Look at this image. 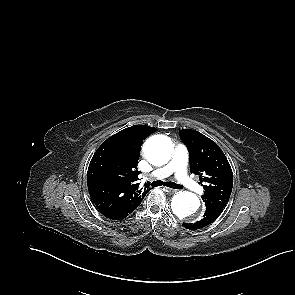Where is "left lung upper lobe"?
<instances>
[{
  "label": "left lung upper lobe",
  "instance_id": "5c2ea615",
  "mask_svg": "<svg viewBox=\"0 0 295 295\" xmlns=\"http://www.w3.org/2000/svg\"><path fill=\"white\" fill-rule=\"evenodd\" d=\"M180 138L189 150L191 172L199 176L200 184L205 182L202 200L206 207L225 208L233 187V173L223 151L196 130H180Z\"/></svg>",
  "mask_w": 295,
  "mask_h": 295
}]
</instances>
